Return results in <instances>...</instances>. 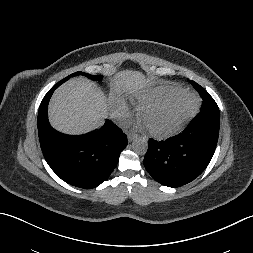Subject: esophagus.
Masks as SVG:
<instances>
[{
	"instance_id": "obj_1",
	"label": "esophagus",
	"mask_w": 253,
	"mask_h": 253,
	"mask_svg": "<svg viewBox=\"0 0 253 253\" xmlns=\"http://www.w3.org/2000/svg\"><path fill=\"white\" fill-rule=\"evenodd\" d=\"M137 137H138V135H137V134H134V133H129V134L127 135V138H128V141H129V142H132V141L135 140Z\"/></svg>"
}]
</instances>
